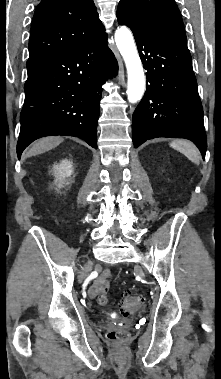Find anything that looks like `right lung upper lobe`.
Segmentation results:
<instances>
[{
    "instance_id": "cb5924a9",
    "label": "right lung upper lobe",
    "mask_w": 221,
    "mask_h": 379,
    "mask_svg": "<svg viewBox=\"0 0 221 379\" xmlns=\"http://www.w3.org/2000/svg\"><path fill=\"white\" fill-rule=\"evenodd\" d=\"M103 28L93 0H42L32 19L27 64L76 47Z\"/></svg>"
}]
</instances>
